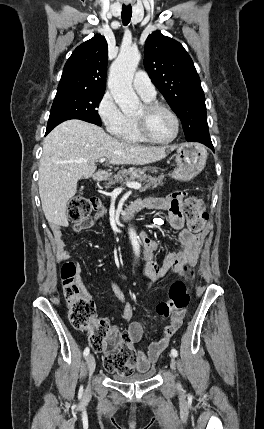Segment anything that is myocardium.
Wrapping results in <instances>:
<instances>
[{
	"label": "myocardium",
	"mask_w": 264,
	"mask_h": 429,
	"mask_svg": "<svg viewBox=\"0 0 264 429\" xmlns=\"http://www.w3.org/2000/svg\"><path fill=\"white\" fill-rule=\"evenodd\" d=\"M143 109H144L143 115L140 117H134V119L137 125L138 132L144 141L152 144L165 145V144L172 143L178 137L179 131H180V119L178 115L170 107L159 102H146L143 105ZM155 111H165L174 120L175 131L171 138L167 140H157L150 135L148 130V125H147V118L151 113Z\"/></svg>",
	"instance_id": "1"
}]
</instances>
